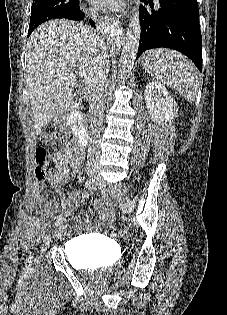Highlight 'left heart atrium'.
<instances>
[{
    "label": "left heart atrium",
    "mask_w": 227,
    "mask_h": 315,
    "mask_svg": "<svg viewBox=\"0 0 227 315\" xmlns=\"http://www.w3.org/2000/svg\"><path fill=\"white\" fill-rule=\"evenodd\" d=\"M100 8L107 11H117L122 7L123 0H93Z\"/></svg>",
    "instance_id": "obj_1"
}]
</instances>
